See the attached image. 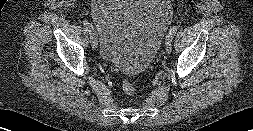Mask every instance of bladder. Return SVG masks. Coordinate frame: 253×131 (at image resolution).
I'll list each match as a JSON object with an SVG mask.
<instances>
[{
    "instance_id": "31cf9c89",
    "label": "bladder",
    "mask_w": 253,
    "mask_h": 131,
    "mask_svg": "<svg viewBox=\"0 0 253 131\" xmlns=\"http://www.w3.org/2000/svg\"><path fill=\"white\" fill-rule=\"evenodd\" d=\"M91 16L100 58L139 75L161 46L172 7L169 0H95Z\"/></svg>"
}]
</instances>
